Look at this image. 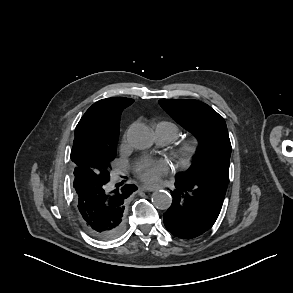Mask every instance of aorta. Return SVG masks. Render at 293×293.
<instances>
[{
    "instance_id": "762f6f07",
    "label": "aorta",
    "mask_w": 293,
    "mask_h": 293,
    "mask_svg": "<svg viewBox=\"0 0 293 293\" xmlns=\"http://www.w3.org/2000/svg\"><path fill=\"white\" fill-rule=\"evenodd\" d=\"M128 141L137 149L149 148L153 142L152 131L144 124H135L129 130ZM151 200L153 205L161 210H167L172 204V196L164 190L155 191Z\"/></svg>"
}]
</instances>
